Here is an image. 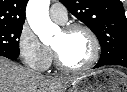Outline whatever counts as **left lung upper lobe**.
I'll return each instance as SVG.
<instances>
[{
  "instance_id": "obj_1",
  "label": "left lung upper lobe",
  "mask_w": 127,
  "mask_h": 92,
  "mask_svg": "<svg viewBox=\"0 0 127 92\" xmlns=\"http://www.w3.org/2000/svg\"><path fill=\"white\" fill-rule=\"evenodd\" d=\"M97 36L101 56L118 47H127V19L120 0H60Z\"/></svg>"
}]
</instances>
